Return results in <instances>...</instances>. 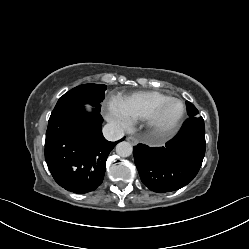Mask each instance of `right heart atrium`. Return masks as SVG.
I'll return each instance as SVG.
<instances>
[{"label": "right heart atrium", "mask_w": 249, "mask_h": 249, "mask_svg": "<svg viewBox=\"0 0 249 249\" xmlns=\"http://www.w3.org/2000/svg\"><path fill=\"white\" fill-rule=\"evenodd\" d=\"M106 119L120 129H129L133 118L117 102H110L105 108Z\"/></svg>", "instance_id": "right-heart-atrium-1"}]
</instances>
